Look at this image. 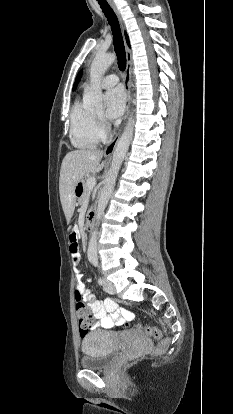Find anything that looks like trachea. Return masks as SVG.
<instances>
[{
  "label": "trachea",
  "instance_id": "3493384b",
  "mask_svg": "<svg viewBox=\"0 0 233 414\" xmlns=\"http://www.w3.org/2000/svg\"><path fill=\"white\" fill-rule=\"evenodd\" d=\"M98 3L111 26L114 50L118 58V67L121 71H124L126 69V54L118 19L106 0H98Z\"/></svg>",
  "mask_w": 233,
  "mask_h": 414
}]
</instances>
